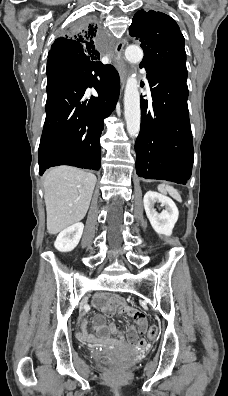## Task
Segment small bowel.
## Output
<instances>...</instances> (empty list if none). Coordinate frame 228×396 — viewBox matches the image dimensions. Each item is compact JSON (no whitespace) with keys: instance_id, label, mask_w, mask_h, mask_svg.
Segmentation results:
<instances>
[{"instance_id":"1","label":"small bowel","mask_w":228,"mask_h":396,"mask_svg":"<svg viewBox=\"0 0 228 396\" xmlns=\"http://www.w3.org/2000/svg\"><path fill=\"white\" fill-rule=\"evenodd\" d=\"M94 305L102 312V314L97 315L94 319V326L99 334L107 335L112 333L117 335L119 339H123L121 333L112 324L106 322L105 316H111L114 313H127L135 319L138 328L136 329L132 325L129 326L125 338L133 344L143 345L145 343L142 338L146 333L145 315L139 310L127 305L122 297L117 295H100L96 297ZM78 336L82 340L91 339V336L86 332L85 325H82Z\"/></svg>"}]
</instances>
